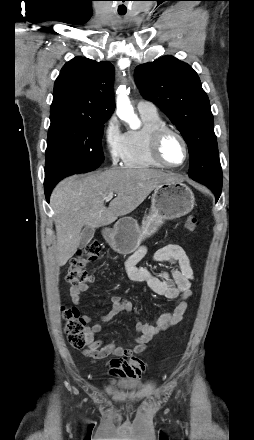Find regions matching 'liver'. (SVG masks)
<instances>
[{"instance_id": "liver-1", "label": "liver", "mask_w": 254, "mask_h": 440, "mask_svg": "<svg viewBox=\"0 0 254 440\" xmlns=\"http://www.w3.org/2000/svg\"><path fill=\"white\" fill-rule=\"evenodd\" d=\"M171 174L149 168H116L68 177L54 188L50 205L57 235V262L63 266L79 247L83 227L113 223L134 211L161 183L175 181ZM117 196L106 207L104 197Z\"/></svg>"}]
</instances>
